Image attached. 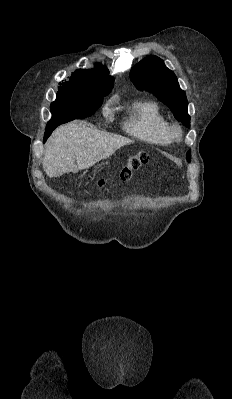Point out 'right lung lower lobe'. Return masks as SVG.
<instances>
[{
	"label": "right lung lower lobe",
	"mask_w": 232,
	"mask_h": 399,
	"mask_svg": "<svg viewBox=\"0 0 232 399\" xmlns=\"http://www.w3.org/2000/svg\"><path fill=\"white\" fill-rule=\"evenodd\" d=\"M88 118V117H86ZM86 118H81V119H86ZM75 120V118L72 117H53L50 122L48 123L47 127H46V131L44 134V140L43 142H45L47 140V138L51 135L52 131L59 125L67 123L69 121Z\"/></svg>",
	"instance_id": "1"
}]
</instances>
